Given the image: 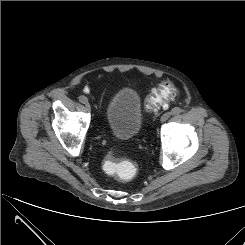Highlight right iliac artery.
Returning <instances> with one entry per match:
<instances>
[{"label":"right iliac artery","instance_id":"82829eb1","mask_svg":"<svg viewBox=\"0 0 245 245\" xmlns=\"http://www.w3.org/2000/svg\"><path fill=\"white\" fill-rule=\"evenodd\" d=\"M85 99H86V98H85L84 96H80V97H79V101H80L81 103H83V102L85 101Z\"/></svg>","mask_w":245,"mask_h":245}]
</instances>
